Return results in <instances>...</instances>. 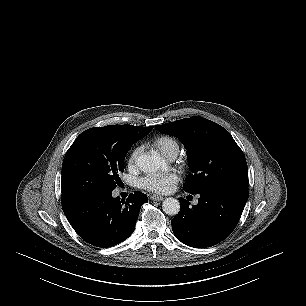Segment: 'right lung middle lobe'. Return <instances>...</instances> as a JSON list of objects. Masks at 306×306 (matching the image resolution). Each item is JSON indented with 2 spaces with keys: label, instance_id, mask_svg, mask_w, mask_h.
<instances>
[{
  "label": "right lung middle lobe",
  "instance_id": "obj_1",
  "mask_svg": "<svg viewBox=\"0 0 306 306\" xmlns=\"http://www.w3.org/2000/svg\"><path fill=\"white\" fill-rule=\"evenodd\" d=\"M135 139L106 132L81 133L66 152L62 165V204L113 191L121 182L125 155Z\"/></svg>",
  "mask_w": 306,
  "mask_h": 306
}]
</instances>
